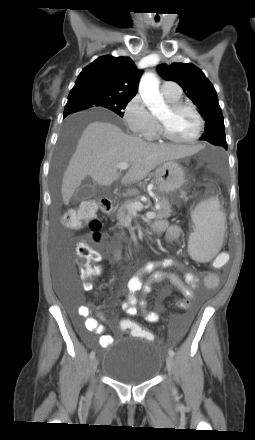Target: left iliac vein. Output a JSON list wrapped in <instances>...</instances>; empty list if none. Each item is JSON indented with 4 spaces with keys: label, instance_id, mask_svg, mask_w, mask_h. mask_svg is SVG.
I'll list each match as a JSON object with an SVG mask.
<instances>
[{
    "label": "left iliac vein",
    "instance_id": "left-iliac-vein-1",
    "mask_svg": "<svg viewBox=\"0 0 255 440\" xmlns=\"http://www.w3.org/2000/svg\"><path fill=\"white\" fill-rule=\"evenodd\" d=\"M166 366H167V369H168V371L170 372V373H172V371H173V368H174V359H173V356H167L166 357Z\"/></svg>",
    "mask_w": 255,
    "mask_h": 440
}]
</instances>
